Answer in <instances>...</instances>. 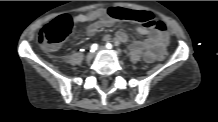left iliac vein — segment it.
Segmentation results:
<instances>
[{"mask_svg": "<svg viewBox=\"0 0 218 122\" xmlns=\"http://www.w3.org/2000/svg\"><path fill=\"white\" fill-rule=\"evenodd\" d=\"M106 50V48L105 47H100L99 48V51L101 52V51H105Z\"/></svg>", "mask_w": 218, "mask_h": 122, "instance_id": "obj_1", "label": "left iliac vein"}]
</instances>
